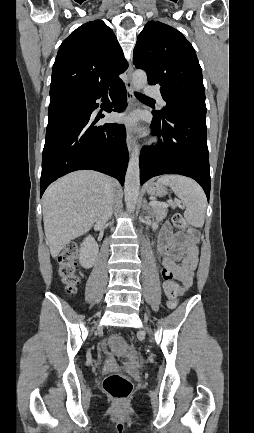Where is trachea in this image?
<instances>
[{"instance_id":"1","label":"trachea","mask_w":254,"mask_h":433,"mask_svg":"<svg viewBox=\"0 0 254 433\" xmlns=\"http://www.w3.org/2000/svg\"><path fill=\"white\" fill-rule=\"evenodd\" d=\"M135 95H136V97H137L138 99H141V100H150V101H154L153 99H151V98H149V97H147V96H145V95H143V94H141V93H135Z\"/></svg>"}]
</instances>
